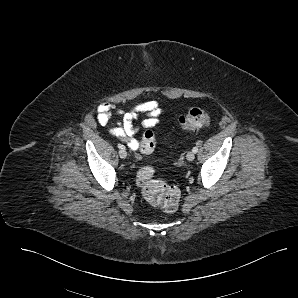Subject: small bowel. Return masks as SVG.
Wrapping results in <instances>:
<instances>
[{
    "label": "small bowel",
    "instance_id": "obj_1",
    "mask_svg": "<svg viewBox=\"0 0 298 298\" xmlns=\"http://www.w3.org/2000/svg\"><path fill=\"white\" fill-rule=\"evenodd\" d=\"M164 113L161 105L155 100H149L137 104L130 110H122L111 103H102L97 108V121L100 125L105 126L110 122L113 114L121 117L120 123L110 129V134L128 144V146L137 150L139 142L134 135L137 128L134 126V121L141 115L146 118L142 121L143 128H152L159 124L160 116Z\"/></svg>",
    "mask_w": 298,
    "mask_h": 298
}]
</instances>
